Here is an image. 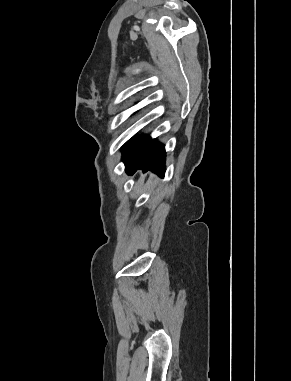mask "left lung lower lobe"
<instances>
[{
    "mask_svg": "<svg viewBox=\"0 0 291 381\" xmlns=\"http://www.w3.org/2000/svg\"><path fill=\"white\" fill-rule=\"evenodd\" d=\"M124 151L123 161L128 174L132 175L136 170L143 172L151 170L160 176L165 173V148L155 139L144 137L128 141L122 148Z\"/></svg>",
    "mask_w": 291,
    "mask_h": 381,
    "instance_id": "obj_1",
    "label": "left lung lower lobe"
}]
</instances>
